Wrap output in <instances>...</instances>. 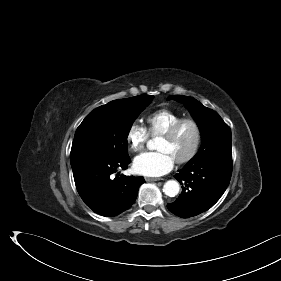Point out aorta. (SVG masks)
Segmentation results:
<instances>
[{"label":"aorta","mask_w":281,"mask_h":281,"mask_svg":"<svg viewBox=\"0 0 281 281\" xmlns=\"http://www.w3.org/2000/svg\"><path fill=\"white\" fill-rule=\"evenodd\" d=\"M148 146L150 147V143L148 144ZM179 190H180V185L175 180H169L163 186V192L165 193V195L169 197L176 196L179 193Z\"/></svg>","instance_id":"obj_1"}]
</instances>
